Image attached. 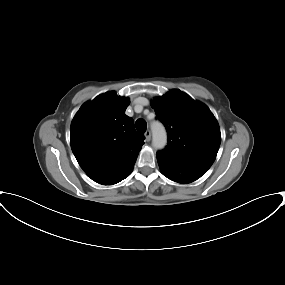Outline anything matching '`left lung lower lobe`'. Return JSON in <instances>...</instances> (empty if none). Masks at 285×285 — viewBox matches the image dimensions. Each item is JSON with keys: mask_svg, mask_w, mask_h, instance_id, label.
Instances as JSON below:
<instances>
[{"mask_svg": "<svg viewBox=\"0 0 285 285\" xmlns=\"http://www.w3.org/2000/svg\"><path fill=\"white\" fill-rule=\"evenodd\" d=\"M157 160L163 175L178 183H191L207 171L203 168L175 161L159 152L157 153Z\"/></svg>", "mask_w": 285, "mask_h": 285, "instance_id": "left-lung-lower-lobe-1", "label": "left lung lower lobe"}]
</instances>
